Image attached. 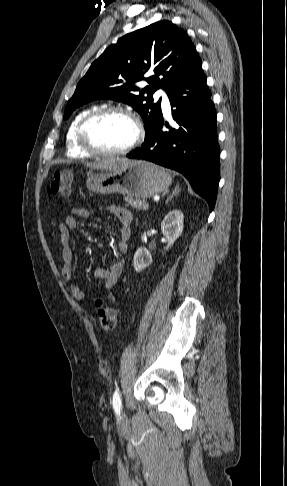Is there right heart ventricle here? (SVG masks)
Instances as JSON below:
<instances>
[{
  "label": "right heart ventricle",
  "instance_id": "obj_1",
  "mask_svg": "<svg viewBox=\"0 0 287 486\" xmlns=\"http://www.w3.org/2000/svg\"><path fill=\"white\" fill-rule=\"evenodd\" d=\"M95 109H96L95 106L85 108V109L81 110L80 112H78L75 115V117L73 118V120L71 121V123H70V125L67 129V132H66V155L69 158L80 159V158H86V157L89 156L86 152H84L79 147V145L77 143L76 133H77L78 125H79L80 121L83 119V117H85L89 112H91Z\"/></svg>",
  "mask_w": 287,
  "mask_h": 486
}]
</instances>
